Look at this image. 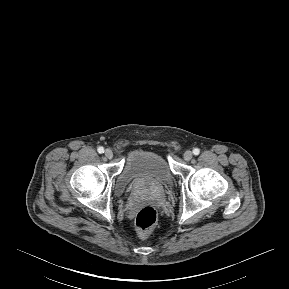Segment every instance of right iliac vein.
Here are the masks:
<instances>
[{"label":"right iliac vein","instance_id":"obj_1","mask_svg":"<svg viewBox=\"0 0 289 289\" xmlns=\"http://www.w3.org/2000/svg\"><path fill=\"white\" fill-rule=\"evenodd\" d=\"M104 154L108 159H111L113 157V152L111 149H106Z\"/></svg>","mask_w":289,"mask_h":289}]
</instances>
